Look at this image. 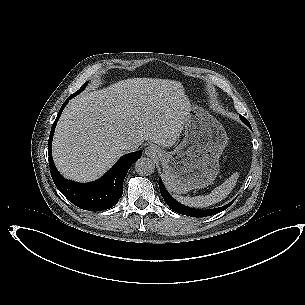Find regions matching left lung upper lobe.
Instances as JSON below:
<instances>
[{"instance_id": "obj_1", "label": "left lung upper lobe", "mask_w": 305, "mask_h": 305, "mask_svg": "<svg viewBox=\"0 0 305 305\" xmlns=\"http://www.w3.org/2000/svg\"><path fill=\"white\" fill-rule=\"evenodd\" d=\"M240 118L246 125H248L250 127L249 122L243 116H240ZM176 206H177L176 212H178L180 214H184V215L191 216V217H207L206 210H198V209L189 208L180 203H177Z\"/></svg>"}]
</instances>
